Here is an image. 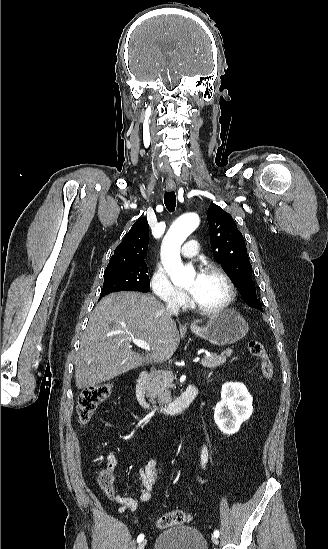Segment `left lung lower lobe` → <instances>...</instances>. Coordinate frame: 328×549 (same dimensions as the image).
<instances>
[{"label":"left lung lower lobe","mask_w":328,"mask_h":549,"mask_svg":"<svg viewBox=\"0 0 328 549\" xmlns=\"http://www.w3.org/2000/svg\"><path fill=\"white\" fill-rule=\"evenodd\" d=\"M251 307H253V308L257 309V310L263 311L262 306L260 305V303L254 305V306H251Z\"/></svg>","instance_id":"1"}]
</instances>
